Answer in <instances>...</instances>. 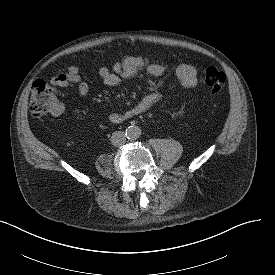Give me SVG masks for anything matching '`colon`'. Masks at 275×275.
Returning a JSON list of instances; mask_svg holds the SVG:
<instances>
[{
    "instance_id": "1",
    "label": "colon",
    "mask_w": 275,
    "mask_h": 275,
    "mask_svg": "<svg viewBox=\"0 0 275 275\" xmlns=\"http://www.w3.org/2000/svg\"><path fill=\"white\" fill-rule=\"evenodd\" d=\"M204 81L212 93L220 92L226 81L224 72L216 67H208L204 73ZM57 91L45 80H36L31 89L30 112L40 118L48 115L58 106Z\"/></svg>"
}]
</instances>
